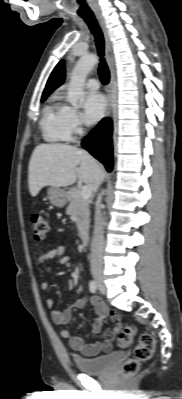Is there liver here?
<instances>
[{"label":"liver","mask_w":182,"mask_h":399,"mask_svg":"<svg viewBox=\"0 0 182 399\" xmlns=\"http://www.w3.org/2000/svg\"><path fill=\"white\" fill-rule=\"evenodd\" d=\"M31 196L45 186L72 185L79 177L95 192L104 180L103 167L85 150L66 144H40L35 147L28 169Z\"/></svg>","instance_id":"obj_1"}]
</instances>
